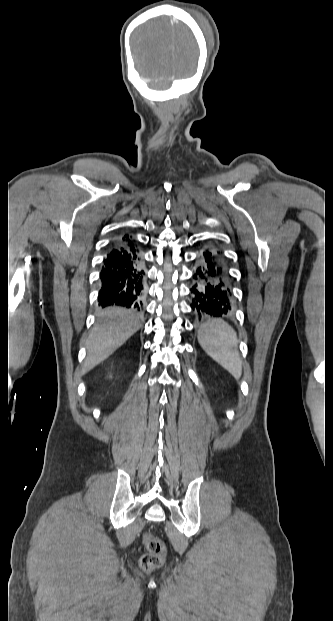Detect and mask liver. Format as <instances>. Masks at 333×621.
Segmentation results:
<instances>
[{
  "mask_svg": "<svg viewBox=\"0 0 333 621\" xmlns=\"http://www.w3.org/2000/svg\"><path fill=\"white\" fill-rule=\"evenodd\" d=\"M98 317V323L86 342L88 355L83 365L84 373L107 359L141 327L137 314L121 308H106Z\"/></svg>",
  "mask_w": 333,
  "mask_h": 621,
  "instance_id": "liver-1",
  "label": "liver"
}]
</instances>
